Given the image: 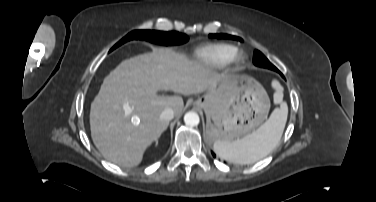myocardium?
<instances>
[{"label":"myocardium","mask_w":376,"mask_h":202,"mask_svg":"<svg viewBox=\"0 0 376 202\" xmlns=\"http://www.w3.org/2000/svg\"><path fill=\"white\" fill-rule=\"evenodd\" d=\"M242 60H243V56L239 52H236L234 56L231 58V60L229 61V63L233 65H238L242 62Z\"/></svg>","instance_id":"obj_1"}]
</instances>
